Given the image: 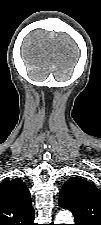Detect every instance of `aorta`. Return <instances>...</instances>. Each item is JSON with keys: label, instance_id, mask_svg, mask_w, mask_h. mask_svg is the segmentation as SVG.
<instances>
[{"label": "aorta", "instance_id": "1", "mask_svg": "<svg viewBox=\"0 0 101 225\" xmlns=\"http://www.w3.org/2000/svg\"><path fill=\"white\" fill-rule=\"evenodd\" d=\"M55 224H74L72 214L67 210L59 211L55 218Z\"/></svg>", "mask_w": 101, "mask_h": 225}]
</instances>
